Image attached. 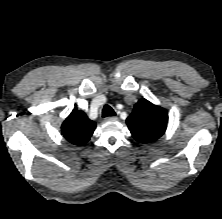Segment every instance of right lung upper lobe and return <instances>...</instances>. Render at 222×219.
I'll return each mask as SVG.
<instances>
[{
  "instance_id": "1",
  "label": "right lung upper lobe",
  "mask_w": 222,
  "mask_h": 219,
  "mask_svg": "<svg viewBox=\"0 0 222 219\" xmlns=\"http://www.w3.org/2000/svg\"><path fill=\"white\" fill-rule=\"evenodd\" d=\"M96 123L90 120L83 111L73 110L61 126L64 137L72 144L83 145L89 141Z\"/></svg>"
}]
</instances>
